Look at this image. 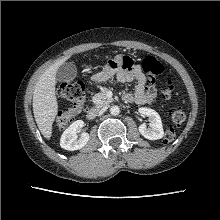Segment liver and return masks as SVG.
<instances>
[{
    "instance_id": "1",
    "label": "liver",
    "mask_w": 220,
    "mask_h": 220,
    "mask_svg": "<svg viewBox=\"0 0 220 220\" xmlns=\"http://www.w3.org/2000/svg\"><path fill=\"white\" fill-rule=\"evenodd\" d=\"M69 58L63 57L52 64L39 78L33 93V113L37 126L46 139L52 135V125L58 111L56 72Z\"/></svg>"
}]
</instances>
